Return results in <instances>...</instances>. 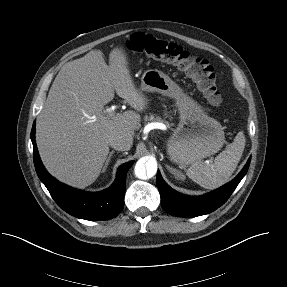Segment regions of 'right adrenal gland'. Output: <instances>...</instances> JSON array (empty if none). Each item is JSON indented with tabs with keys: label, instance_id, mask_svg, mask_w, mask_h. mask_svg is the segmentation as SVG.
<instances>
[{
	"label": "right adrenal gland",
	"instance_id": "obj_1",
	"mask_svg": "<svg viewBox=\"0 0 287 287\" xmlns=\"http://www.w3.org/2000/svg\"><path fill=\"white\" fill-rule=\"evenodd\" d=\"M113 154H114V151H111L110 154H109V156H108V158H107V160H106V162H105V165H104V167H103L102 172H105V171H106V169H107V167H108V165H109V162L111 161V158H112Z\"/></svg>",
	"mask_w": 287,
	"mask_h": 287
}]
</instances>
